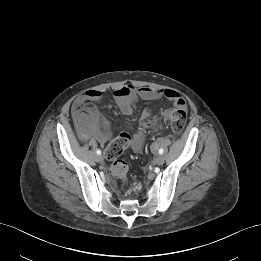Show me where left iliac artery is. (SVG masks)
Masks as SVG:
<instances>
[{"label":"left iliac artery","mask_w":261,"mask_h":261,"mask_svg":"<svg viewBox=\"0 0 261 261\" xmlns=\"http://www.w3.org/2000/svg\"><path fill=\"white\" fill-rule=\"evenodd\" d=\"M158 152H159V154H163L164 149H163V148H160Z\"/></svg>","instance_id":"left-iliac-artery-1"}]
</instances>
